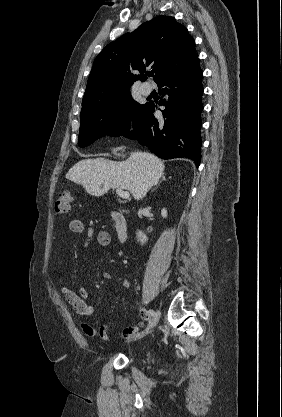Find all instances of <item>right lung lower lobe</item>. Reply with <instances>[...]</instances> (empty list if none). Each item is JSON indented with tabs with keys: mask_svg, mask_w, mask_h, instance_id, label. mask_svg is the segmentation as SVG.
<instances>
[{
	"mask_svg": "<svg viewBox=\"0 0 282 417\" xmlns=\"http://www.w3.org/2000/svg\"><path fill=\"white\" fill-rule=\"evenodd\" d=\"M201 80L199 59L162 78L157 85L162 88L161 94L165 96L159 102L165 106L162 111L163 120L158 121L154 117L156 106L149 102L133 122L134 130L121 135L138 140L162 159L185 157L193 160L198 167L202 143Z\"/></svg>",
	"mask_w": 282,
	"mask_h": 417,
	"instance_id": "98d812e1",
	"label": "right lung lower lobe"
}]
</instances>
